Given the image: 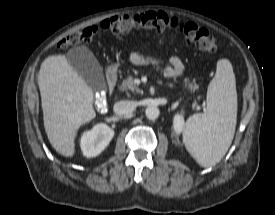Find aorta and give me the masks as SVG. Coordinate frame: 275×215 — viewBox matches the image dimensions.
<instances>
[{
  "mask_svg": "<svg viewBox=\"0 0 275 215\" xmlns=\"http://www.w3.org/2000/svg\"><path fill=\"white\" fill-rule=\"evenodd\" d=\"M160 110L155 106H149L145 110V115L149 120H156L159 117Z\"/></svg>",
  "mask_w": 275,
  "mask_h": 215,
  "instance_id": "762f6f07",
  "label": "aorta"
}]
</instances>
